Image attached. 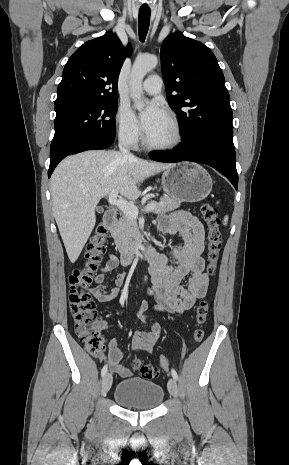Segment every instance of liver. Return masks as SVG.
Returning <instances> with one entry per match:
<instances>
[{
    "label": "liver",
    "instance_id": "1",
    "mask_svg": "<svg viewBox=\"0 0 289 465\" xmlns=\"http://www.w3.org/2000/svg\"><path fill=\"white\" fill-rule=\"evenodd\" d=\"M173 164L149 162L118 151L91 150L66 157L51 177L52 211L69 260L74 263L95 223L99 200L118 190L137 199L140 184Z\"/></svg>",
    "mask_w": 289,
    "mask_h": 465
}]
</instances>
